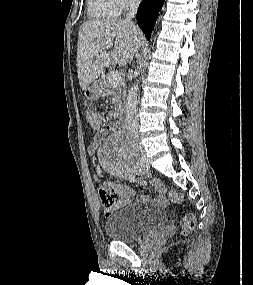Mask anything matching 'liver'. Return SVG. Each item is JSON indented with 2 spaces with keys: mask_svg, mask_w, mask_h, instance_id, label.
<instances>
[{
  "mask_svg": "<svg viewBox=\"0 0 253 285\" xmlns=\"http://www.w3.org/2000/svg\"><path fill=\"white\" fill-rule=\"evenodd\" d=\"M143 34L125 20L87 21L80 26L77 48V73L82 90L95 82L106 67L123 65L133 58L142 44ZM108 43L115 47L107 51Z\"/></svg>",
  "mask_w": 253,
  "mask_h": 285,
  "instance_id": "6515ba94",
  "label": "liver"
}]
</instances>
